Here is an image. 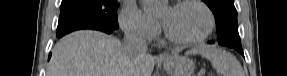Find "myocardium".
<instances>
[{"label": "myocardium", "instance_id": "myocardium-1", "mask_svg": "<svg viewBox=\"0 0 287 76\" xmlns=\"http://www.w3.org/2000/svg\"><path fill=\"white\" fill-rule=\"evenodd\" d=\"M187 4H194V5H197L200 8H202L203 11L207 15L208 23H207L206 29L204 30V32L201 35H199L195 38H192V39H180V38L173 36L169 32V30L167 29V27L165 26V24L163 22L162 27H163V32H164L166 39L168 41H170L171 43L176 44V45H180V46H192V45H196V44L204 42L211 35V33L213 32V30L215 28L214 13L212 12L210 7L205 2H203L201 0H182V1H178L177 3H175L173 7H179V6H183V5H187Z\"/></svg>", "mask_w": 287, "mask_h": 76}]
</instances>
